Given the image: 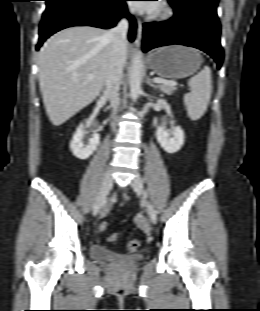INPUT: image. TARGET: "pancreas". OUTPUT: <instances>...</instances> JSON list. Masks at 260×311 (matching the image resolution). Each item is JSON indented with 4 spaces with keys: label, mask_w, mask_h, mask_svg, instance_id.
Returning <instances> with one entry per match:
<instances>
[{
    "label": "pancreas",
    "mask_w": 260,
    "mask_h": 311,
    "mask_svg": "<svg viewBox=\"0 0 260 311\" xmlns=\"http://www.w3.org/2000/svg\"><path fill=\"white\" fill-rule=\"evenodd\" d=\"M158 88L165 94L171 95L174 91H176V85H169L165 83H159Z\"/></svg>",
    "instance_id": "1"
}]
</instances>
